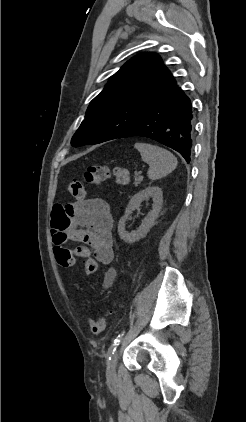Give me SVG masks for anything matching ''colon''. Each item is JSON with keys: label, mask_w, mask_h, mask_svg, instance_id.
I'll return each instance as SVG.
<instances>
[{"label": "colon", "mask_w": 246, "mask_h": 422, "mask_svg": "<svg viewBox=\"0 0 246 422\" xmlns=\"http://www.w3.org/2000/svg\"><path fill=\"white\" fill-rule=\"evenodd\" d=\"M113 174L119 184L125 185L129 182L130 175L127 169L116 167ZM111 175V170L107 165H90L84 173L85 182L90 185H99L107 180ZM69 194L78 200H84L87 195L85 184L80 180H72L68 184ZM55 258L59 265L63 267H71L76 263L75 256L68 249H58L55 251ZM83 270L86 275L94 274L97 270V262L94 259H87L84 262ZM110 312H106L97 319H88V324L93 334H100L104 331L107 324V317Z\"/></svg>", "instance_id": "1"}]
</instances>
